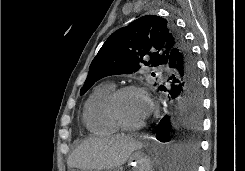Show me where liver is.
<instances>
[{
	"mask_svg": "<svg viewBox=\"0 0 245 171\" xmlns=\"http://www.w3.org/2000/svg\"><path fill=\"white\" fill-rule=\"evenodd\" d=\"M142 146L141 142L124 134L88 138L72 152L67 165L69 168H79L84 171L120 167L135 150L141 149Z\"/></svg>",
	"mask_w": 245,
	"mask_h": 171,
	"instance_id": "6515ba94",
	"label": "liver"
}]
</instances>
